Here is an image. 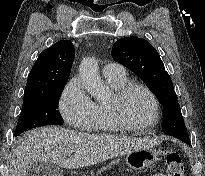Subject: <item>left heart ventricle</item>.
<instances>
[{
	"label": "left heart ventricle",
	"instance_id": "left-heart-ventricle-1",
	"mask_svg": "<svg viewBox=\"0 0 205 176\" xmlns=\"http://www.w3.org/2000/svg\"><path fill=\"white\" fill-rule=\"evenodd\" d=\"M125 114L134 123L148 122L153 115V105L148 95L136 90L124 102Z\"/></svg>",
	"mask_w": 205,
	"mask_h": 176
}]
</instances>
